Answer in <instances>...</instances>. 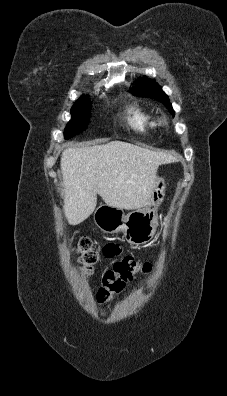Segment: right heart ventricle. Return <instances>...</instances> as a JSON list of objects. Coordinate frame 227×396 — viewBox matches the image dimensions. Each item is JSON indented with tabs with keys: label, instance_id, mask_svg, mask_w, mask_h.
Segmentation results:
<instances>
[{
	"label": "right heart ventricle",
	"instance_id": "right-heart-ventricle-1",
	"mask_svg": "<svg viewBox=\"0 0 227 396\" xmlns=\"http://www.w3.org/2000/svg\"><path fill=\"white\" fill-rule=\"evenodd\" d=\"M127 124L136 132L146 133L158 127L155 115L139 104H131L125 110Z\"/></svg>",
	"mask_w": 227,
	"mask_h": 396
}]
</instances>
